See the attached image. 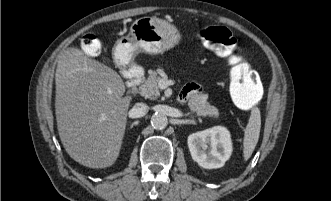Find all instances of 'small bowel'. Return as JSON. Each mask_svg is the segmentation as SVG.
Returning <instances> with one entry per match:
<instances>
[{
  "instance_id": "obj_1",
  "label": "small bowel",
  "mask_w": 331,
  "mask_h": 201,
  "mask_svg": "<svg viewBox=\"0 0 331 201\" xmlns=\"http://www.w3.org/2000/svg\"><path fill=\"white\" fill-rule=\"evenodd\" d=\"M199 91V86L196 84H188L180 93L179 100L184 102L189 99L192 95Z\"/></svg>"
}]
</instances>
